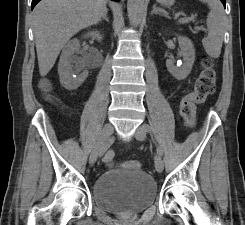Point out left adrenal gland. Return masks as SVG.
Returning a JSON list of instances; mask_svg holds the SVG:
<instances>
[{"mask_svg":"<svg viewBox=\"0 0 245 225\" xmlns=\"http://www.w3.org/2000/svg\"><path fill=\"white\" fill-rule=\"evenodd\" d=\"M153 14L160 15V16L164 15L158 11L156 5L153 6V10L151 11V15Z\"/></svg>","mask_w":245,"mask_h":225,"instance_id":"1","label":"left adrenal gland"}]
</instances>
